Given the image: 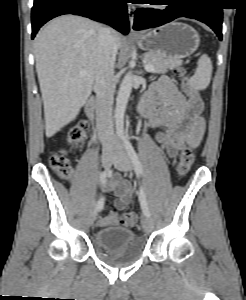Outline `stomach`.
Wrapping results in <instances>:
<instances>
[{
    "instance_id": "obj_1",
    "label": "stomach",
    "mask_w": 246,
    "mask_h": 300,
    "mask_svg": "<svg viewBox=\"0 0 246 300\" xmlns=\"http://www.w3.org/2000/svg\"><path fill=\"white\" fill-rule=\"evenodd\" d=\"M136 41L142 50L178 64L198 49L200 37L193 27L180 22H171L142 33Z\"/></svg>"
}]
</instances>
